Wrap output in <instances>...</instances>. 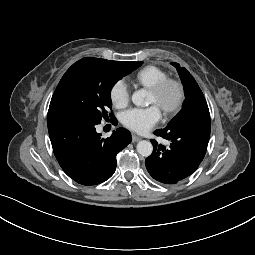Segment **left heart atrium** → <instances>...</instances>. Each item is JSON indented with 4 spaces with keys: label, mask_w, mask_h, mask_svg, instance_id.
Here are the masks:
<instances>
[{
    "label": "left heart atrium",
    "mask_w": 255,
    "mask_h": 255,
    "mask_svg": "<svg viewBox=\"0 0 255 255\" xmlns=\"http://www.w3.org/2000/svg\"><path fill=\"white\" fill-rule=\"evenodd\" d=\"M161 110L157 105L147 108H132L121 116L122 124L137 133H145L155 126L161 119Z\"/></svg>",
    "instance_id": "1"
}]
</instances>
